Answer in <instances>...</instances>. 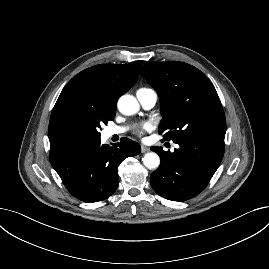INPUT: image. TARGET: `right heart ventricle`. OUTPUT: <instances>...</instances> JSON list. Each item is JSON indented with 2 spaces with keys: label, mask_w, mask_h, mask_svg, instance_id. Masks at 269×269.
Segmentation results:
<instances>
[{
  "label": "right heart ventricle",
  "mask_w": 269,
  "mask_h": 269,
  "mask_svg": "<svg viewBox=\"0 0 269 269\" xmlns=\"http://www.w3.org/2000/svg\"><path fill=\"white\" fill-rule=\"evenodd\" d=\"M140 90H148V88H141V89H139L138 91H140Z\"/></svg>",
  "instance_id": "right-heart-ventricle-1"
}]
</instances>
